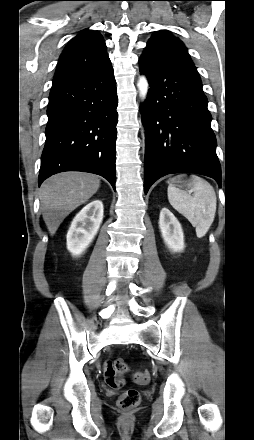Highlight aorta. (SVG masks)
<instances>
[{
    "instance_id": "obj_1",
    "label": "aorta",
    "mask_w": 254,
    "mask_h": 440,
    "mask_svg": "<svg viewBox=\"0 0 254 440\" xmlns=\"http://www.w3.org/2000/svg\"><path fill=\"white\" fill-rule=\"evenodd\" d=\"M138 88L140 96L145 99L148 93V82L144 76H141L138 81Z\"/></svg>"
}]
</instances>
